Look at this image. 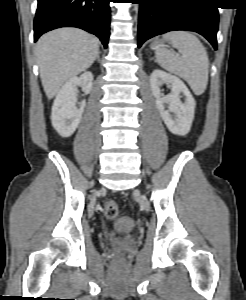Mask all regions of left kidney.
<instances>
[{"mask_svg":"<svg viewBox=\"0 0 246 300\" xmlns=\"http://www.w3.org/2000/svg\"><path fill=\"white\" fill-rule=\"evenodd\" d=\"M165 83L171 85V93L164 96L161 95V87ZM150 86L158 111L169 131L179 136L188 134L194 119L196 102L184 82L174 75L154 70L150 76ZM180 93L185 96L184 103L180 100Z\"/></svg>","mask_w":246,"mask_h":300,"instance_id":"1","label":"left kidney"}]
</instances>
